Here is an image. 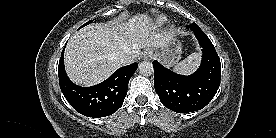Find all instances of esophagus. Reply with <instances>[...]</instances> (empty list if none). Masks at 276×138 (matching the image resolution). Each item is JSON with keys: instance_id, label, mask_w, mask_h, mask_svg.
I'll list each match as a JSON object with an SVG mask.
<instances>
[{"instance_id": "34e87169", "label": "esophagus", "mask_w": 276, "mask_h": 138, "mask_svg": "<svg viewBox=\"0 0 276 138\" xmlns=\"http://www.w3.org/2000/svg\"><path fill=\"white\" fill-rule=\"evenodd\" d=\"M153 57H154V52L153 50H150V49L146 50L141 56L143 60H151Z\"/></svg>"}]
</instances>
